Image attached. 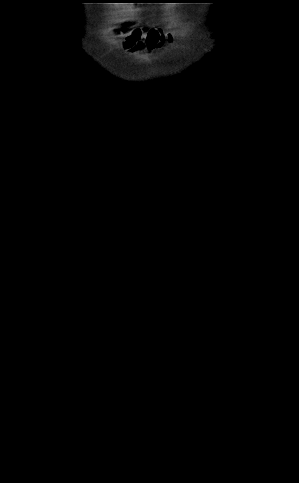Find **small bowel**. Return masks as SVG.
Returning a JSON list of instances; mask_svg holds the SVG:
<instances>
[{
	"label": "small bowel",
	"instance_id": "small-bowel-1",
	"mask_svg": "<svg viewBox=\"0 0 299 483\" xmlns=\"http://www.w3.org/2000/svg\"><path fill=\"white\" fill-rule=\"evenodd\" d=\"M121 31L124 33V45L131 51H152L171 38L159 27H140L132 23H125Z\"/></svg>",
	"mask_w": 299,
	"mask_h": 483
}]
</instances>
